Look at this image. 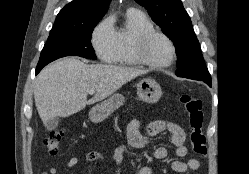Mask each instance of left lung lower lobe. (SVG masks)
Returning <instances> with one entry per match:
<instances>
[{
	"label": "left lung lower lobe",
	"instance_id": "0a47b994",
	"mask_svg": "<svg viewBox=\"0 0 249 174\" xmlns=\"http://www.w3.org/2000/svg\"><path fill=\"white\" fill-rule=\"evenodd\" d=\"M194 80H200V81H203L205 82L209 87L212 86V83H211V79L210 78H196Z\"/></svg>",
	"mask_w": 249,
	"mask_h": 174
}]
</instances>
